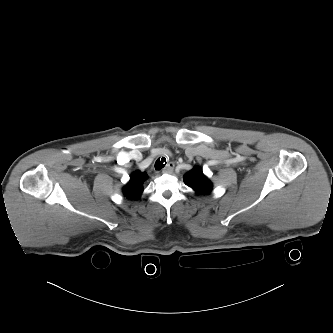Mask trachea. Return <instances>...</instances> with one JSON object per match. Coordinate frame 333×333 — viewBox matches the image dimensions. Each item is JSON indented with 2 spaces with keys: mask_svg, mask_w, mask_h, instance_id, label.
I'll use <instances>...</instances> for the list:
<instances>
[{
  "mask_svg": "<svg viewBox=\"0 0 333 333\" xmlns=\"http://www.w3.org/2000/svg\"><path fill=\"white\" fill-rule=\"evenodd\" d=\"M166 164V158L165 157H162L161 159L159 158L156 162H155V169L156 170H161L165 164Z\"/></svg>",
  "mask_w": 333,
  "mask_h": 333,
  "instance_id": "1",
  "label": "trachea"
}]
</instances>
